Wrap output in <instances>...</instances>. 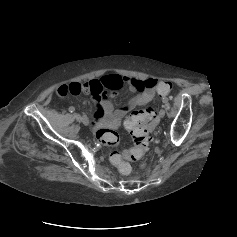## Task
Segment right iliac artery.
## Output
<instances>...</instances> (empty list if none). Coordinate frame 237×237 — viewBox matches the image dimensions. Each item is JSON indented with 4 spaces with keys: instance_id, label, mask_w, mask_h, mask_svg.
<instances>
[{
    "instance_id": "right-iliac-artery-1",
    "label": "right iliac artery",
    "mask_w": 237,
    "mask_h": 237,
    "mask_svg": "<svg viewBox=\"0 0 237 237\" xmlns=\"http://www.w3.org/2000/svg\"><path fill=\"white\" fill-rule=\"evenodd\" d=\"M68 110H69V112H71V113H72V112H74V111H75V108H74L73 106H71V107H69V109H68Z\"/></svg>"
}]
</instances>
